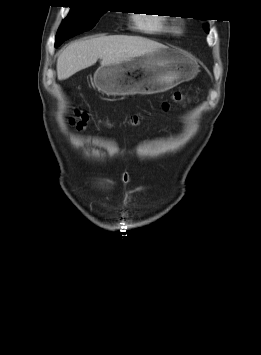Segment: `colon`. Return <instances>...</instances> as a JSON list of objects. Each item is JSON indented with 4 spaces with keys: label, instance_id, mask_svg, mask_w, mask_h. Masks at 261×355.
<instances>
[{
    "label": "colon",
    "instance_id": "1",
    "mask_svg": "<svg viewBox=\"0 0 261 355\" xmlns=\"http://www.w3.org/2000/svg\"><path fill=\"white\" fill-rule=\"evenodd\" d=\"M190 100L188 94L183 92H175L170 101H165L162 103V108L164 110H168L172 104H182ZM132 123L137 124L138 118L133 117ZM90 122L89 115L82 110H75L74 115L72 117V123L76 125L78 128H85Z\"/></svg>",
    "mask_w": 261,
    "mask_h": 355
}]
</instances>
